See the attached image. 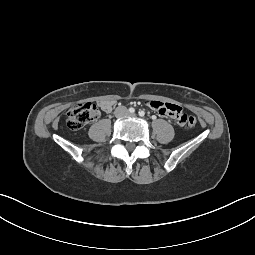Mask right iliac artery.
<instances>
[{
    "label": "right iliac artery",
    "instance_id": "obj_1",
    "mask_svg": "<svg viewBox=\"0 0 255 255\" xmlns=\"http://www.w3.org/2000/svg\"><path fill=\"white\" fill-rule=\"evenodd\" d=\"M128 111H129V113H134L135 109L131 107V108L128 109Z\"/></svg>",
    "mask_w": 255,
    "mask_h": 255
}]
</instances>
